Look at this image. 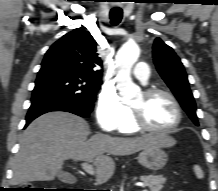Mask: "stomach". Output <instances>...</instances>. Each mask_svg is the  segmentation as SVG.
<instances>
[{
    "mask_svg": "<svg viewBox=\"0 0 218 191\" xmlns=\"http://www.w3.org/2000/svg\"><path fill=\"white\" fill-rule=\"evenodd\" d=\"M168 161V155L159 146H151L144 149L138 156V162L152 171L162 169Z\"/></svg>",
    "mask_w": 218,
    "mask_h": 191,
    "instance_id": "stomach-1",
    "label": "stomach"
}]
</instances>
